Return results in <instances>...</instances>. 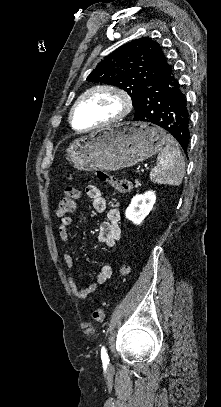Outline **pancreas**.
Segmentation results:
<instances>
[{
	"label": "pancreas",
	"mask_w": 221,
	"mask_h": 407,
	"mask_svg": "<svg viewBox=\"0 0 221 407\" xmlns=\"http://www.w3.org/2000/svg\"><path fill=\"white\" fill-rule=\"evenodd\" d=\"M136 187L140 186V182L138 180L135 181Z\"/></svg>",
	"instance_id": "pancreas-1"
}]
</instances>
